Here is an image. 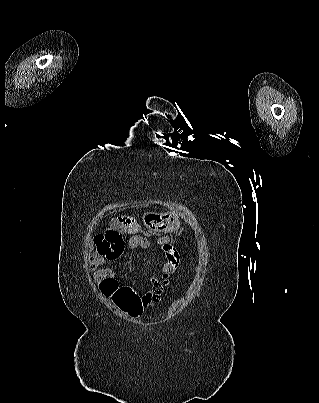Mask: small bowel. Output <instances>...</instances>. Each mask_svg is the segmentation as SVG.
Wrapping results in <instances>:
<instances>
[{
  "instance_id": "c3829d8e",
  "label": "small bowel",
  "mask_w": 319,
  "mask_h": 403,
  "mask_svg": "<svg viewBox=\"0 0 319 403\" xmlns=\"http://www.w3.org/2000/svg\"><path fill=\"white\" fill-rule=\"evenodd\" d=\"M140 231L135 221L130 220L129 213H118L114 224H109L106 229L96 230L95 247L88 259V269L94 271V277L99 282V292L116 304L118 309L133 318H139L147 308H153L160 303L163 288L170 286L172 278L178 267V253L169 243L168 238H162L163 250L166 253L165 264L162 272H155L151 276V284L148 291L140 296L138 284H121L120 279L115 278L113 269L107 264L118 259L126 253L127 234H136ZM133 243L144 245L145 240L136 236Z\"/></svg>"
}]
</instances>
